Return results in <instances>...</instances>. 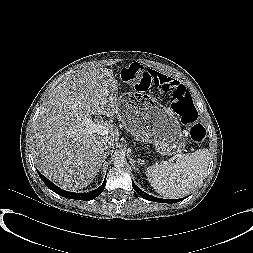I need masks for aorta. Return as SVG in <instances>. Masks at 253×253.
<instances>
[{
	"instance_id": "aorta-1",
	"label": "aorta",
	"mask_w": 253,
	"mask_h": 253,
	"mask_svg": "<svg viewBox=\"0 0 253 253\" xmlns=\"http://www.w3.org/2000/svg\"><path fill=\"white\" fill-rule=\"evenodd\" d=\"M126 164V159L123 156H116L113 159V165L115 167L121 168L123 166H125Z\"/></svg>"
}]
</instances>
